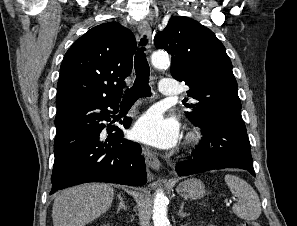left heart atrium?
<instances>
[{"label":"left heart atrium","mask_w":297,"mask_h":226,"mask_svg":"<svg viewBox=\"0 0 297 226\" xmlns=\"http://www.w3.org/2000/svg\"><path fill=\"white\" fill-rule=\"evenodd\" d=\"M133 136L150 145L169 148L178 142L179 126L174 120L164 119L159 113L151 111L137 121Z\"/></svg>","instance_id":"1"}]
</instances>
